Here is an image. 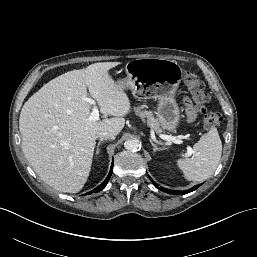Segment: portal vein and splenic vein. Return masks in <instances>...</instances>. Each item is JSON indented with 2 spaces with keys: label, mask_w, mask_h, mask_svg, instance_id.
Segmentation results:
<instances>
[{
  "label": "portal vein and splenic vein",
  "mask_w": 257,
  "mask_h": 257,
  "mask_svg": "<svg viewBox=\"0 0 257 257\" xmlns=\"http://www.w3.org/2000/svg\"><path fill=\"white\" fill-rule=\"evenodd\" d=\"M85 100L88 103H90L91 105H93V109H92V112L89 116V120L98 121L99 120V110H98V107H97L95 101L91 98H85ZM163 139L167 140V141H171V142L176 143V144H179L181 142V140L178 137L171 136V135H163Z\"/></svg>",
  "instance_id": "obj_1"
}]
</instances>
